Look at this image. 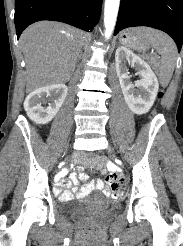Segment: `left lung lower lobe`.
I'll use <instances>...</instances> for the list:
<instances>
[{
    "label": "left lung lower lobe",
    "instance_id": "1",
    "mask_svg": "<svg viewBox=\"0 0 183 246\" xmlns=\"http://www.w3.org/2000/svg\"><path fill=\"white\" fill-rule=\"evenodd\" d=\"M148 26L162 30L183 44V0H121L116 35L127 27Z\"/></svg>",
    "mask_w": 183,
    "mask_h": 246
}]
</instances>
